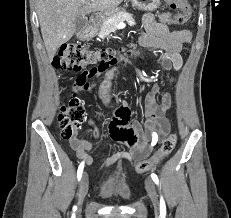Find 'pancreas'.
<instances>
[{
	"instance_id": "1",
	"label": "pancreas",
	"mask_w": 231,
	"mask_h": 218,
	"mask_svg": "<svg viewBox=\"0 0 231 218\" xmlns=\"http://www.w3.org/2000/svg\"><path fill=\"white\" fill-rule=\"evenodd\" d=\"M126 21L130 26L135 25V20L133 19L132 15L125 12V11H116L109 17H106L101 22L99 37L104 38L110 33L114 32L120 23Z\"/></svg>"
}]
</instances>
